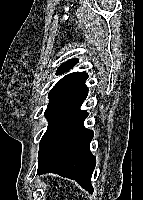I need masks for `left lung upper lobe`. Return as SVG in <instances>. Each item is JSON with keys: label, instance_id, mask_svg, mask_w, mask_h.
<instances>
[{"label": "left lung upper lobe", "instance_id": "5c2ea615", "mask_svg": "<svg viewBox=\"0 0 143 200\" xmlns=\"http://www.w3.org/2000/svg\"><path fill=\"white\" fill-rule=\"evenodd\" d=\"M78 63L77 59L68 60L66 63H63L56 71V75H61L71 68H73ZM80 74V72H74L64 76L50 91L49 100L59 94L64 88L69 86L75 78Z\"/></svg>", "mask_w": 143, "mask_h": 200}]
</instances>
